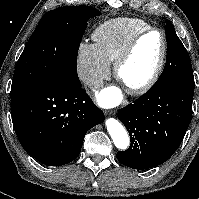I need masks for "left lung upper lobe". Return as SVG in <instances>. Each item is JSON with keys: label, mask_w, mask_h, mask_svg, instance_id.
Here are the masks:
<instances>
[{"label": "left lung upper lobe", "mask_w": 199, "mask_h": 199, "mask_svg": "<svg viewBox=\"0 0 199 199\" xmlns=\"http://www.w3.org/2000/svg\"><path fill=\"white\" fill-rule=\"evenodd\" d=\"M165 31L167 41V62L162 75L151 90H158L178 82L194 83L190 57L169 20H166Z\"/></svg>", "instance_id": "5c2ea615"}]
</instances>
